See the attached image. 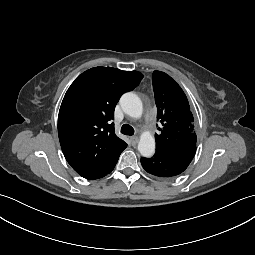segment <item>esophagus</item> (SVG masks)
<instances>
[{"mask_svg":"<svg viewBox=\"0 0 255 255\" xmlns=\"http://www.w3.org/2000/svg\"><path fill=\"white\" fill-rule=\"evenodd\" d=\"M130 142L132 145H136L138 143V137L137 136L130 137Z\"/></svg>","mask_w":255,"mask_h":255,"instance_id":"esophagus-1","label":"esophagus"}]
</instances>
